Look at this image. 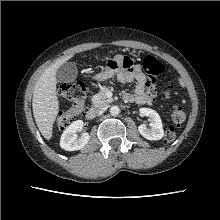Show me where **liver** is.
<instances>
[{"label":"liver","instance_id":"6515ba94","mask_svg":"<svg viewBox=\"0 0 220 220\" xmlns=\"http://www.w3.org/2000/svg\"><path fill=\"white\" fill-rule=\"evenodd\" d=\"M73 55L62 57L48 67L36 82L32 108L33 115L42 136L50 140L53 133V124L59 111V101L56 92V71Z\"/></svg>","mask_w":220,"mask_h":220}]
</instances>
